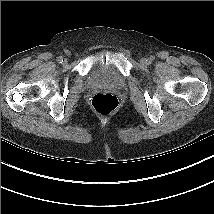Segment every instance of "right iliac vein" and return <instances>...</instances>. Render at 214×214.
I'll return each mask as SVG.
<instances>
[{
  "mask_svg": "<svg viewBox=\"0 0 214 214\" xmlns=\"http://www.w3.org/2000/svg\"><path fill=\"white\" fill-rule=\"evenodd\" d=\"M63 64H64V65L67 64V60H64V61H63Z\"/></svg>",
  "mask_w": 214,
  "mask_h": 214,
  "instance_id": "obj_1",
  "label": "right iliac vein"
}]
</instances>
